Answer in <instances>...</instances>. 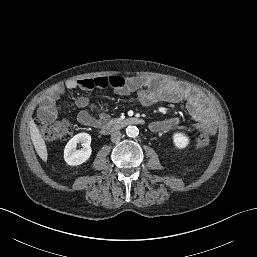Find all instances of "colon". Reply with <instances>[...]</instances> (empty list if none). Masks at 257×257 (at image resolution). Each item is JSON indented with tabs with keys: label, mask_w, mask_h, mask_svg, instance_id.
<instances>
[{
	"label": "colon",
	"mask_w": 257,
	"mask_h": 257,
	"mask_svg": "<svg viewBox=\"0 0 257 257\" xmlns=\"http://www.w3.org/2000/svg\"><path fill=\"white\" fill-rule=\"evenodd\" d=\"M37 126L42 136L48 141H62L68 139L72 134V127L66 120L37 119ZM211 131L208 125L202 126V133L196 141V147L203 149L210 143Z\"/></svg>",
	"instance_id": "obj_1"
}]
</instances>
